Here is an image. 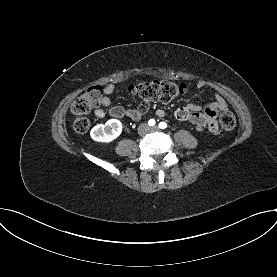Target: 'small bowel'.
Wrapping results in <instances>:
<instances>
[{"mask_svg":"<svg viewBox=\"0 0 277 277\" xmlns=\"http://www.w3.org/2000/svg\"><path fill=\"white\" fill-rule=\"evenodd\" d=\"M205 87V82L199 81L197 83L198 89H203ZM115 88L116 87L114 84H108L103 88L101 105L106 107L107 110L105 111L102 108H96L94 110L95 116L98 118H103L108 114L113 118L127 117L135 122H139L149 110V102L144 100L133 109H127L120 105L111 106L110 96L114 93ZM226 109L227 104L224 98L220 94L215 93L213 101H210L204 105L191 102L186 106L175 110L174 117L179 121L190 122L196 130H203L207 128L210 132L215 133L219 129L216 117L220 111H224ZM156 115L158 117H164L165 111L158 109L156 111Z\"/></svg>","mask_w":277,"mask_h":277,"instance_id":"small-bowel-1","label":"small bowel"}]
</instances>
